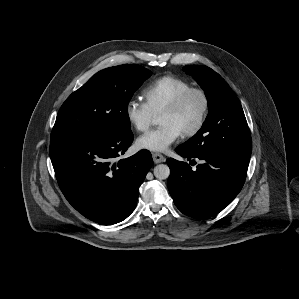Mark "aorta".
I'll use <instances>...</instances> for the list:
<instances>
[{"label": "aorta", "instance_id": "obj_1", "mask_svg": "<svg viewBox=\"0 0 299 299\" xmlns=\"http://www.w3.org/2000/svg\"><path fill=\"white\" fill-rule=\"evenodd\" d=\"M170 175V169L166 164H159L154 168V176L159 180L167 179Z\"/></svg>", "mask_w": 299, "mask_h": 299}]
</instances>
